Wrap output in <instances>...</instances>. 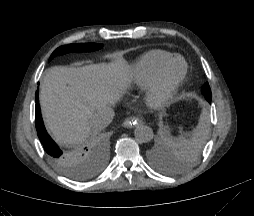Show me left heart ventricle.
Returning a JSON list of instances; mask_svg holds the SVG:
<instances>
[{
  "mask_svg": "<svg viewBox=\"0 0 254 216\" xmlns=\"http://www.w3.org/2000/svg\"><path fill=\"white\" fill-rule=\"evenodd\" d=\"M181 70L182 63L180 61L171 64L165 73V81L167 83L173 81L180 74Z\"/></svg>",
  "mask_w": 254,
  "mask_h": 216,
  "instance_id": "1",
  "label": "left heart ventricle"
}]
</instances>
